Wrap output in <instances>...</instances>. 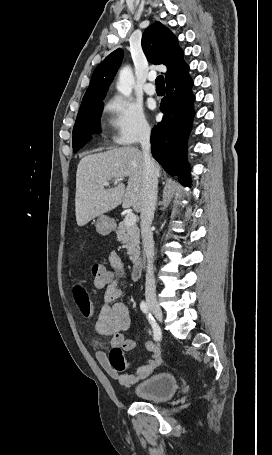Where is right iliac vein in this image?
Wrapping results in <instances>:
<instances>
[{
  "label": "right iliac vein",
  "instance_id": "right-iliac-vein-1",
  "mask_svg": "<svg viewBox=\"0 0 272 455\" xmlns=\"http://www.w3.org/2000/svg\"><path fill=\"white\" fill-rule=\"evenodd\" d=\"M147 305L150 311L154 314L155 318L161 322L163 319V314L160 306L158 305L157 301L154 298L147 299Z\"/></svg>",
  "mask_w": 272,
  "mask_h": 455
}]
</instances>
